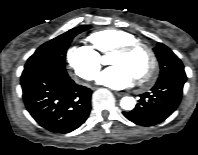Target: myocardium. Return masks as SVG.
I'll list each match as a JSON object with an SVG mask.
<instances>
[{"label": "myocardium", "mask_w": 198, "mask_h": 155, "mask_svg": "<svg viewBox=\"0 0 198 155\" xmlns=\"http://www.w3.org/2000/svg\"><path fill=\"white\" fill-rule=\"evenodd\" d=\"M138 48H143L147 51L150 58V64L146 73L138 77L136 82L141 86H147L154 81L158 69V59L156 53L149 44L143 41L135 40L118 46L113 50V53L127 54Z\"/></svg>", "instance_id": "myocardium-1"}]
</instances>
